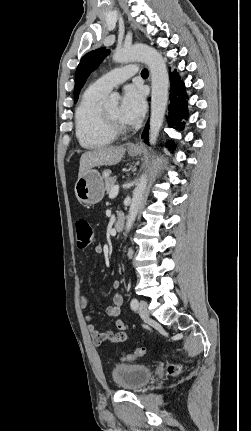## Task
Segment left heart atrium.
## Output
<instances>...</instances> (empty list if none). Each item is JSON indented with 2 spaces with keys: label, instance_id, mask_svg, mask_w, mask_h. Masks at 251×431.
<instances>
[{
  "label": "left heart atrium",
  "instance_id": "39dd6f15",
  "mask_svg": "<svg viewBox=\"0 0 251 431\" xmlns=\"http://www.w3.org/2000/svg\"><path fill=\"white\" fill-rule=\"evenodd\" d=\"M145 107V97L141 87L137 85L125 87L120 105L123 120L127 124L138 122L145 111Z\"/></svg>",
  "mask_w": 251,
  "mask_h": 431
}]
</instances>
